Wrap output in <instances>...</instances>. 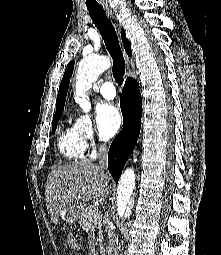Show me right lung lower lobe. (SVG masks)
Masks as SVG:
<instances>
[{"label": "right lung lower lobe", "mask_w": 221, "mask_h": 255, "mask_svg": "<svg viewBox=\"0 0 221 255\" xmlns=\"http://www.w3.org/2000/svg\"><path fill=\"white\" fill-rule=\"evenodd\" d=\"M141 104L142 99L137 81L127 78L120 99L124 126L114 138L108 153V169L116 182L137 143L142 116Z\"/></svg>", "instance_id": "obj_1"}]
</instances>
